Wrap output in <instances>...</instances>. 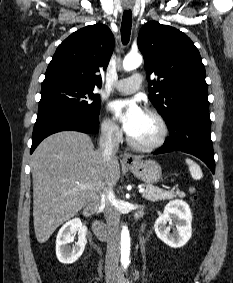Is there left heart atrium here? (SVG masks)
Masks as SVG:
<instances>
[{"mask_svg":"<svg viewBox=\"0 0 233 283\" xmlns=\"http://www.w3.org/2000/svg\"><path fill=\"white\" fill-rule=\"evenodd\" d=\"M110 110L120 120L129 134L144 113L136 99L116 100L110 104Z\"/></svg>","mask_w":233,"mask_h":283,"instance_id":"1","label":"left heart atrium"}]
</instances>
